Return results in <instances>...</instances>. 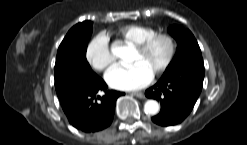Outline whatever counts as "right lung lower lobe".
<instances>
[{
  "label": "right lung lower lobe",
  "mask_w": 247,
  "mask_h": 145,
  "mask_svg": "<svg viewBox=\"0 0 247 145\" xmlns=\"http://www.w3.org/2000/svg\"><path fill=\"white\" fill-rule=\"evenodd\" d=\"M61 106L70 124L84 132L108 127L114 116L116 99L123 92L107 91L106 83L96 74H73L55 82ZM103 90L105 95L96 96Z\"/></svg>",
  "instance_id": "obj_1"
}]
</instances>
